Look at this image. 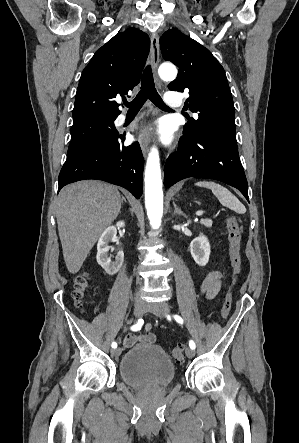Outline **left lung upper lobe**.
<instances>
[{
    "label": "left lung upper lobe",
    "mask_w": 299,
    "mask_h": 443,
    "mask_svg": "<svg viewBox=\"0 0 299 443\" xmlns=\"http://www.w3.org/2000/svg\"><path fill=\"white\" fill-rule=\"evenodd\" d=\"M160 46L164 59L179 68L168 88L189 90L187 107L199 116L188 120L183 135L193 138L211 133L236 141L235 108L221 64L208 49L178 30L166 31Z\"/></svg>",
    "instance_id": "5c2ea615"
}]
</instances>
